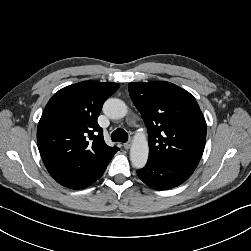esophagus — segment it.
Listing matches in <instances>:
<instances>
[{
    "instance_id": "1",
    "label": "esophagus",
    "mask_w": 251,
    "mask_h": 251,
    "mask_svg": "<svg viewBox=\"0 0 251 251\" xmlns=\"http://www.w3.org/2000/svg\"><path fill=\"white\" fill-rule=\"evenodd\" d=\"M123 146H124L125 149H129L131 147V143L127 142Z\"/></svg>"
}]
</instances>
